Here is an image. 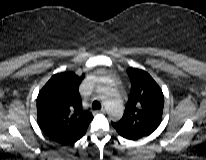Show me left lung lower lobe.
<instances>
[{"label": "left lung lower lobe", "mask_w": 206, "mask_h": 160, "mask_svg": "<svg viewBox=\"0 0 206 160\" xmlns=\"http://www.w3.org/2000/svg\"><path fill=\"white\" fill-rule=\"evenodd\" d=\"M122 136V135H121ZM124 138H127L129 140H137L136 138H133V137H127V136H123Z\"/></svg>", "instance_id": "0a47b994"}]
</instances>
